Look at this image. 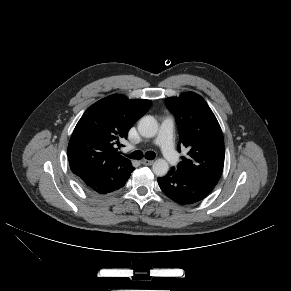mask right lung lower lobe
Segmentation results:
<instances>
[{"label":"right lung lower lobe","instance_id":"1","mask_svg":"<svg viewBox=\"0 0 291 291\" xmlns=\"http://www.w3.org/2000/svg\"><path fill=\"white\" fill-rule=\"evenodd\" d=\"M134 167L122 170L116 166L92 172L80 179L84 190L93 196L105 195L123 187L130 177Z\"/></svg>","mask_w":291,"mask_h":291}]
</instances>
